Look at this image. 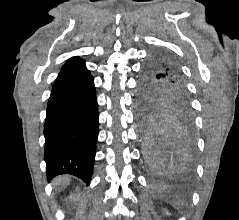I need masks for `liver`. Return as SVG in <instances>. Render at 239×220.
<instances>
[{
  "instance_id": "liver-1",
  "label": "liver",
  "mask_w": 239,
  "mask_h": 220,
  "mask_svg": "<svg viewBox=\"0 0 239 220\" xmlns=\"http://www.w3.org/2000/svg\"><path fill=\"white\" fill-rule=\"evenodd\" d=\"M69 181V176H59L53 180V185L58 188V191H60L62 187L67 186Z\"/></svg>"
}]
</instances>
